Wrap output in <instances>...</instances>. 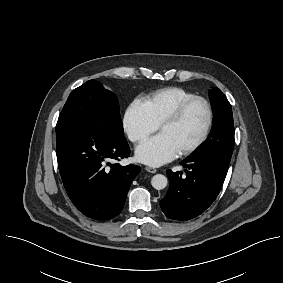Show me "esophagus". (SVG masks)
Masks as SVG:
<instances>
[{
	"mask_svg": "<svg viewBox=\"0 0 283 283\" xmlns=\"http://www.w3.org/2000/svg\"><path fill=\"white\" fill-rule=\"evenodd\" d=\"M147 172L149 173H156L157 172V169L153 168V167H146L145 168Z\"/></svg>",
	"mask_w": 283,
	"mask_h": 283,
	"instance_id": "1",
	"label": "esophagus"
}]
</instances>
